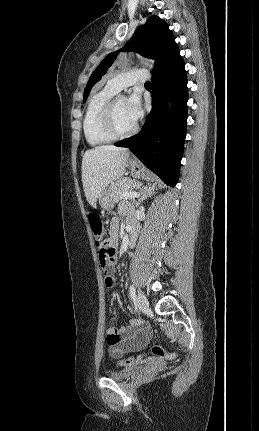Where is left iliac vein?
<instances>
[{"mask_svg":"<svg viewBox=\"0 0 259 431\" xmlns=\"http://www.w3.org/2000/svg\"><path fill=\"white\" fill-rule=\"evenodd\" d=\"M136 301L141 310H145L149 307L148 299L142 292H138Z\"/></svg>","mask_w":259,"mask_h":431,"instance_id":"left-iliac-vein-1","label":"left iliac vein"}]
</instances>
